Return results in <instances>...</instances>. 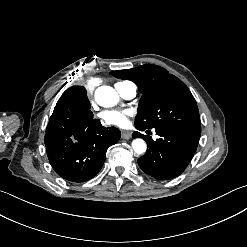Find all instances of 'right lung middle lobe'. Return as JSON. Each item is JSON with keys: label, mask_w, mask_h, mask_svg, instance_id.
I'll return each mask as SVG.
<instances>
[{"label": "right lung middle lobe", "mask_w": 247, "mask_h": 247, "mask_svg": "<svg viewBox=\"0 0 247 247\" xmlns=\"http://www.w3.org/2000/svg\"><path fill=\"white\" fill-rule=\"evenodd\" d=\"M60 100H66L67 102L72 103L84 111H90V103L87 98V91L83 86H72L68 88L63 93L59 101Z\"/></svg>", "instance_id": "dd1d6c3e"}]
</instances>
